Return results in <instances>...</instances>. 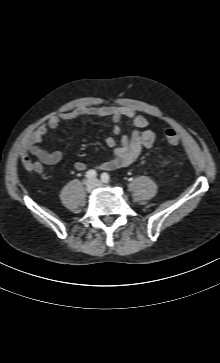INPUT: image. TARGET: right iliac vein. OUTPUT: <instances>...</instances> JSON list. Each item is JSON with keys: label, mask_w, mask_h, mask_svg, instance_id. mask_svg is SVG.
<instances>
[{"label": "right iliac vein", "mask_w": 220, "mask_h": 363, "mask_svg": "<svg viewBox=\"0 0 220 363\" xmlns=\"http://www.w3.org/2000/svg\"><path fill=\"white\" fill-rule=\"evenodd\" d=\"M95 188H96V183L94 180H88L86 182V191L88 193H92L95 190Z\"/></svg>", "instance_id": "right-iliac-vein-1"}]
</instances>
